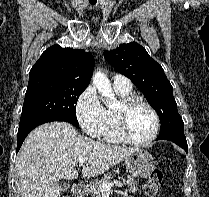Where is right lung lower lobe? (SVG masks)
Wrapping results in <instances>:
<instances>
[{"label":"right lung lower lobe","mask_w":209,"mask_h":197,"mask_svg":"<svg viewBox=\"0 0 209 197\" xmlns=\"http://www.w3.org/2000/svg\"><path fill=\"white\" fill-rule=\"evenodd\" d=\"M51 121H65V122H69L67 120L64 119H58V118H49V119H44V120H39L33 123H29L25 126L19 127L18 129V134H17V149H16V153L19 151L24 139L26 138V136L29 134L30 131H32L35 127L47 123V122H51ZM70 123V122H69Z\"/></svg>","instance_id":"obj_1"}]
</instances>
